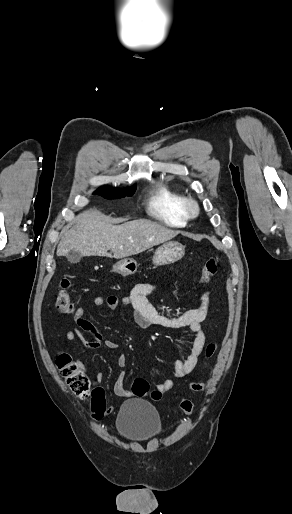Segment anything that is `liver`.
Segmentation results:
<instances>
[{"label": "liver", "mask_w": 292, "mask_h": 514, "mask_svg": "<svg viewBox=\"0 0 292 514\" xmlns=\"http://www.w3.org/2000/svg\"><path fill=\"white\" fill-rule=\"evenodd\" d=\"M62 234L64 238L57 248V256H66L70 250H75L82 256L128 258L172 240L179 232L151 220H133L113 226L109 216L99 210H87L77 216L74 228Z\"/></svg>", "instance_id": "6515ba94"}]
</instances>
